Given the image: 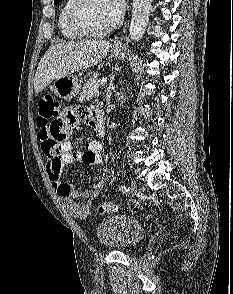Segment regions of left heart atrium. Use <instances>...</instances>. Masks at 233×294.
I'll return each mask as SVG.
<instances>
[{
	"label": "left heart atrium",
	"instance_id": "39dd6f15",
	"mask_svg": "<svg viewBox=\"0 0 233 294\" xmlns=\"http://www.w3.org/2000/svg\"><path fill=\"white\" fill-rule=\"evenodd\" d=\"M113 12L120 16L125 8V1L124 0H107Z\"/></svg>",
	"mask_w": 233,
	"mask_h": 294
}]
</instances>
